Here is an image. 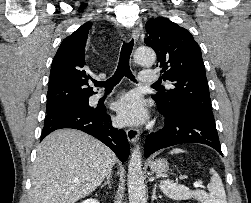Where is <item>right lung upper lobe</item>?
I'll return each mask as SVG.
<instances>
[{
	"mask_svg": "<svg viewBox=\"0 0 251 203\" xmlns=\"http://www.w3.org/2000/svg\"><path fill=\"white\" fill-rule=\"evenodd\" d=\"M92 24L85 23L61 43L52 63L47 110L53 111L89 99L91 72L86 68L85 49Z\"/></svg>",
	"mask_w": 251,
	"mask_h": 203,
	"instance_id": "right-lung-upper-lobe-1",
	"label": "right lung upper lobe"
}]
</instances>
